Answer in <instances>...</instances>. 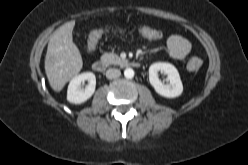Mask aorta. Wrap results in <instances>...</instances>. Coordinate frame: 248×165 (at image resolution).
<instances>
[{
	"mask_svg": "<svg viewBox=\"0 0 248 165\" xmlns=\"http://www.w3.org/2000/svg\"><path fill=\"white\" fill-rule=\"evenodd\" d=\"M124 76L128 79H131L134 77V70L132 68H126L124 70Z\"/></svg>",
	"mask_w": 248,
	"mask_h": 165,
	"instance_id": "obj_1",
	"label": "aorta"
}]
</instances>
